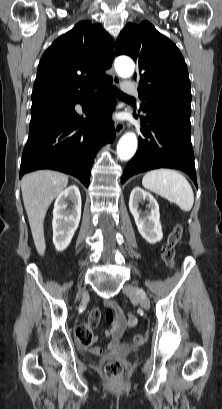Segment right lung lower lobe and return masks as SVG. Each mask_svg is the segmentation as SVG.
<instances>
[{
	"mask_svg": "<svg viewBox=\"0 0 222 409\" xmlns=\"http://www.w3.org/2000/svg\"><path fill=\"white\" fill-rule=\"evenodd\" d=\"M111 82H102L94 89L97 92L93 90L83 99L54 104L32 114L20 178L34 170L54 169L77 177L88 187L97 151L115 138L110 120L116 104ZM77 103L86 118H79L74 109Z\"/></svg>",
	"mask_w": 222,
	"mask_h": 409,
	"instance_id": "98d812e1",
	"label": "right lung lower lobe"
}]
</instances>
